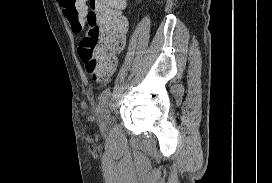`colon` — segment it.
Masks as SVG:
<instances>
[{"label":"colon","mask_w":272,"mask_h":183,"mask_svg":"<svg viewBox=\"0 0 272 183\" xmlns=\"http://www.w3.org/2000/svg\"><path fill=\"white\" fill-rule=\"evenodd\" d=\"M74 32L84 31L78 53L87 72L106 78L125 44L128 21L122 15L126 0H59Z\"/></svg>","instance_id":"5ec220e1"}]
</instances>
